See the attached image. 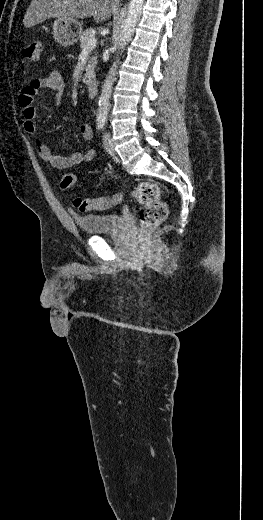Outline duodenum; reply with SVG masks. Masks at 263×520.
I'll return each instance as SVG.
<instances>
[{"label":"duodenum","mask_w":263,"mask_h":520,"mask_svg":"<svg viewBox=\"0 0 263 520\" xmlns=\"http://www.w3.org/2000/svg\"><path fill=\"white\" fill-rule=\"evenodd\" d=\"M98 92V83L96 80L90 79L88 81V94L90 97H95Z\"/></svg>","instance_id":"duodenum-1"}]
</instances>
